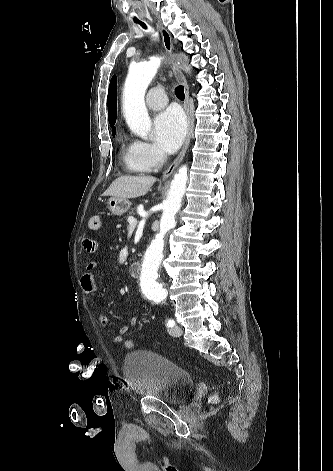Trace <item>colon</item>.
<instances>
[{"label": "colon", "mask_w": 333, "mask_h": 471, "mask_svg": "<svg viewBox=\"0 0 333 471\" xmlns=\"http://www.w3.org/2000/svg\"><path fill=\"white\" fill-rule=\"evenodd\" d=\"M100 217L95 215V216H92L90 219H89V223H88V226L91 230H98L99 227H100ZM123 346L126 348V349H131L134 347V342L133 340L131 339H124L123 341ZM212 402L215 403L217 402V397H213L212 398Z\"/></svg>", "instance_id": "colon-1"}]
</instances>
